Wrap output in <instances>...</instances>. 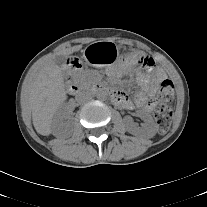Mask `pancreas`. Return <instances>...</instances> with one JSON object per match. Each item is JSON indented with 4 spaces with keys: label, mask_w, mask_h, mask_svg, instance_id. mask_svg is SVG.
<instances>
[{
    "label": "pancreas",
    "mask_w": 207,
    "mask_h": 207,
    "mask_svg": "<svg viewBox=\"0 0 207 207\" xmlns=\"http://www.w3.org/2000/svg\"><path fill=\"white\" fill-rule=\"evenodd\" d=\"M93 73L94 72H92V71L85 72L88 82H92V75H93Z\"/></svg>",
    "instance_id": "obj_1"
}]
</instances>
